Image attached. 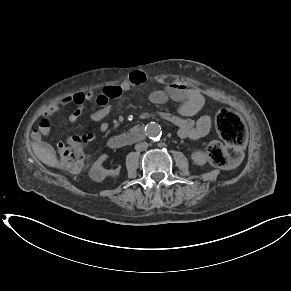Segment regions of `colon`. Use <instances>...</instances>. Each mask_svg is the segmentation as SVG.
Masks as SVG:
<instances>
[{"instance_id":"5ec220e1","label":"colon","mask_w":291,"mask_h":291,"mask_svg":"<svg viewBox=\"0 0 291 291\" xmlns=\"http://www.w3.org/2000/svg\"><path fill=\"white\" fill-rule=\"evenodd\" d=\"M70 102V97L64 100L65 104ZM215 123L225 145L219 141H212L207 147V153L214 165L229 167L239 159L240 148L246 140V127L239 115L229 109L220 110L216 115ZM61 160L64 167L73 173L84 170L89 162L85 143L81 140L70 141L69 146L61 154Z\"/></svg>"}]
</instances>
